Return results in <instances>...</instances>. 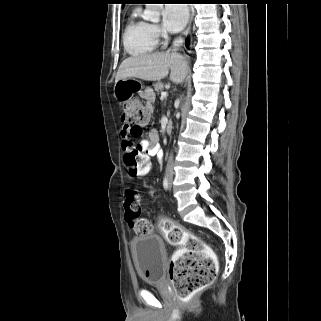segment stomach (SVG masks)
Here are the masks:
<instances>
[{
    "label": "stomach",
    "mask_w": 321,
    "mask_h": 321,
    "mask_svg": "<svg viewBox=\"0 0 321 321\" xmlns=\"http://www.w3.org/2000/svg\"><path fill=\"white\" fill-rule=\"evenodd\" d=\"M141 83L134 79H121L115 82L114 94L115 97L125 102L127 101L135 92H140Z\"/></svg>",
    "instance_id": "1"
}]
</instances>
